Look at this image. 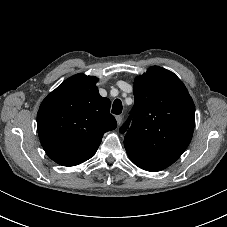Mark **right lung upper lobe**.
<instances>
[{"label": "right lung upper lobe", "instance_id": "right-lung-upper-lobe-1", "mask_svg": "<svg viewBox=\"0 0 227 227\" xmlns=\"http://www.w3.org/2000/svg\"><path fill=\"white\" fill-rule=\"evenodd\" d=\"M98 79L74 75L52 91L37 114L40 142L47 155L62 166H75L91 158L103 134L117 127L110 100L101 97Z\"/></svg>", "mask_w": 227, "mask_h": 227}]
</instances>
